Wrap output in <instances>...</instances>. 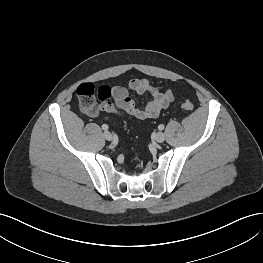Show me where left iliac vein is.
<instances>
[{
    "instance_id": "1",
    "label": "left iliac vein",
    "mask_w": 263,
    "mask_h": 263,
    "mask_svg": "<svg viewBox=\"0 0 263 263\" xmlns=\"http://www.w3.org/2000/svg\"><path fill=\"white\" fill-rule=\"evenodd\" d=\"M155 140L158 142V143H162L164 140H165V135L163 132H158L155 136Z\"/></svg>"
}]
</instances>
